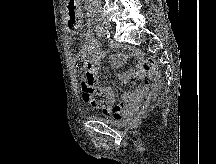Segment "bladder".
I'll return each instance as SVG.
<instances>
[{
	"instance_id": "bladder-1",
	"label": "bladder",
	"mask_w": 216,
	"mask_h": 164,
	"mask_svg": "<svg viewBox=\"0 0 216 164\" xmlns=\"http://www.w3.org/2000/svg\"><path fill=\"white\" fill-rule=\"evenodd\" d=\"M101 121H103V122H105V123H107V124H110V125H122V124H124V122L123 121H119V120H115V119H113V120H107V119H100Z\"/></svg>"
}]
</instances>
